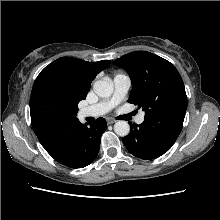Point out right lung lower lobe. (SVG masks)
Returning a JSON list of instances; mask_svg holds the SVG:
<instances>
[{
  "instance_id": "98d812e1",
  "label": "right lung lower lobe",
  "mask_w": 220,
  "mask_h": 220,
  "mask_svg": "<svg viewBox=\"0 0 220 220\" xmlns=\"http://www.w3.org/2000/svg\"><path fill=\"white\" fill-rule=\"evenodd\" d=\"M104 118H98L92 124H71L46 151L59 163L71 168H83L97 157L101 135L106 130Z\"/></svg>"
}]
</instances>
